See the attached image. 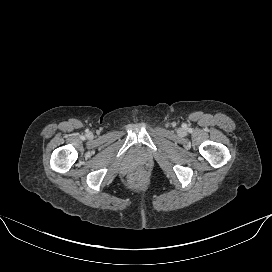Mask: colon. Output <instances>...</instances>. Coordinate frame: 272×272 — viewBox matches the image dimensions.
Segmentation results:
<instances>
[{
	"instance_id": "obj_1",
	"label": "colon",
	"mask_w": 272,
	"mask_h": 272,
	"mask_svg": "<svg viewBox=\"0 0 272 272\" xmlns=\"http://www.w3.org/2000/svg\"><path fill=\"white\" fill-rule=\"evenodd\" d=\"M146 179V173L142 169H138L134 171L130 176H129V183L132 186H139L141 185Z\"/></svg>"
}]
</instances>
